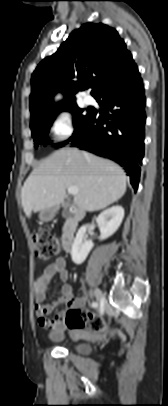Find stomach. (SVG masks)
<instances>
[{"instance_id": "obj_1", "label": "stomach", "mask_w": 168, "mask_h": 406, "mask_svg": "<svg viewBox=\"0 0 168 406\" xmlns=\"http://www.w3.org/2000/svg\"><path fill=\"white\" fill-rule=\"evenodd\" d=\"M55 210L45 209L40 212V219L43 221H49L54 217Z\"/></svg>"}]
</instances>
